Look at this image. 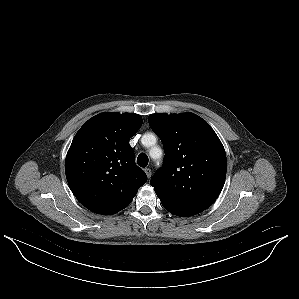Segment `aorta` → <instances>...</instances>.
Wrapping results in <instances>:
<instances>
[{"mask_svg":"<svg viewBox=\"0 0 299 299\" xmlns=\"http://www.w3.org/2000/svg\"><path fill=\"white\" fill-rule=\"evenodd\" d=\"M145 137H147L148 139H154L153 135H146ZM152 154V153H151Z\"/></svg>","mask_w":299,"mask_h":299,"instance_id":"1","label":"aorta"}]
</instances>
